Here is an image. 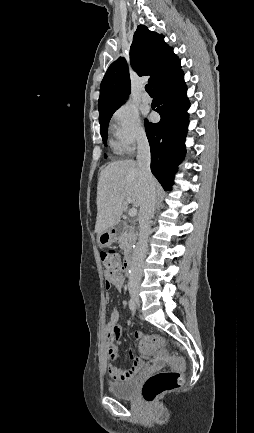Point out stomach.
I'll use <instances>...</instances> for the list:
<instances>
[{
  "label": "stomach",
  "instance_id": "stomach-1",
  "mask_svg": "<svg viewBox=\"0 0 254 433\" xmlns=\"http://www.w3.org/2000/svg\"><path fill=\"white\" fill-rule=\"evenodd\" d=\"M117 239V233L113 229L101 233L97 237V242L100 247H108Z\"/></svg>",
  "mask_w": 254,
  "mask_h": 433
}]
</instances>
